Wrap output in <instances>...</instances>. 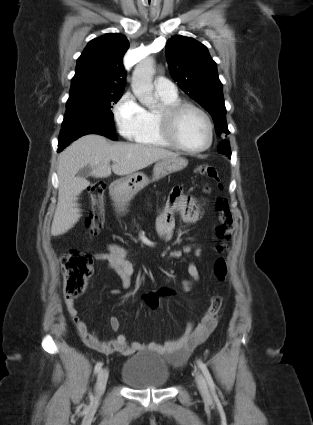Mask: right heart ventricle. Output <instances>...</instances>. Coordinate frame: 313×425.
<instances>
[{"label":"right heart ventricle","mask_w":313,"mask_h":425,"mask_svg":"<svg viewBox=\"0 0 313 425\" xmlns=\"http://www.w3.org/2000/svg\"><path fill=\"white\" fill-rule=\"evenodd\" d=\"M159 95V98L164 106L173 105L179 103V99L177 96L175 97H166L163 95ZM148 127L146 131L140 135L136 141L143 145L151 146V147H163V148H174L167 141L163 139L161 133L159 131L158 124V112L156 111H148Z\"/></svg>","instance_id":"e07e8e85"}]
</instances>
